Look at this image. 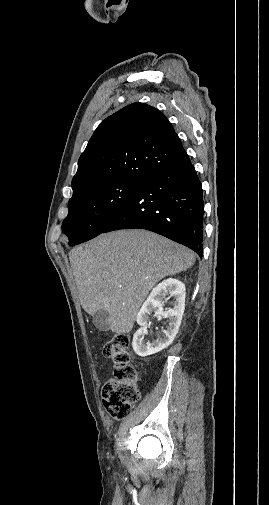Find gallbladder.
Segmentation results:
<instances>
[{"mask_svg": "<svg viewBox=\"0 0 269 505\" xmlns=\"http://www.w3.org/2000/svg\"><path fill=\"white\" fill-rule=\"evenodd\" d=\"M93 323L99 331H109L110 324L108 312L103 309L97 310L93 315Z\"/></svg>", "mask_w": 269, "mask_h": 505, "instance_id": "bac80fb5", "label": "gallbladder"}]
</instances>
